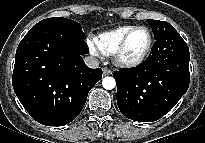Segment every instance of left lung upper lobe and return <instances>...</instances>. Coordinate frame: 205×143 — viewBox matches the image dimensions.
Returning <instances> with one entry per match:
<instances>
[{
  "mask_svg": "<svg viewBox=\"0 0 205 143\" xmlns=\"http://www.w3.org/2000/svg\"><path fill=\"white\" fill-rule=\"evenodd\" d=\"M148 24L152 28L155 40L170 32L176 31V29L171 24L165 21L149 19Z\"/></svg>",
  "mask_w": 205,
  "mask_h": 143,
  "instance_id": "1",
  "label": "left lung upper lobe"
}]
</instances>
